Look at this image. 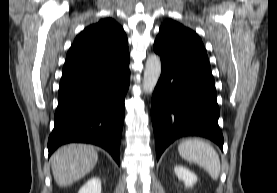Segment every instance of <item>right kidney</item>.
Masks as SVG:
<instances>
[{
    "label": "right kidney",
    "instance_id": "right-kidney-1",
    "mask_svg": "<svg viewBox=\"0 0 277 193\" xmlns=\"http://www.w3.org/2000/svg\"><path fill=\"white\" fill-rule=\"evenodd\" d=\"M78 193H101V180L96 177L91 178L80 188Z\"/></svg>",
    "mask_w": 277,
    "mask_h": 193
}]
</instances>
